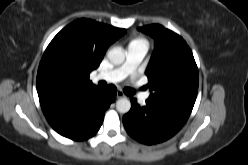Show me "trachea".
<instances>
[{
	"mask_svg": "<svg viewBox=\"0 0 248 165\" xmlns=\"http://www.w3.org/2000/svg\"><path fill=\"white\" fill-rule=\"evenodd\" d=\"M100 84L102 85L103 82H100ZM124 93L128 96L134 95L135 94V90L131 89V88H124Z\"/></svg>",
	"mask_w": 248,
	"mask_h": 165,
	"instance_id": "trachea-1",
	"label": "trachea"
}]
</instances>
